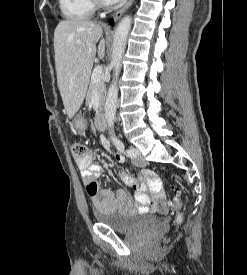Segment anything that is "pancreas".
<instances>
[{"label": "pancreas", "instance_id": "obj_1", "mask_svg": "<svg viewBox=\"0 0 247 275\" xmlns=\"http://www.w3.org/2000/svg\"><path fill=\"white\" fill-rule=\"evenodd\" d=\"M97 94L99 98V110L97 111V117L100 115L101 107L104 105L105 96H106V88L104 81L100 79V81L95 82L91 80V83L89 85V89L86 95V103L90 104L92 97L94 94Z\"/></svg>", "mask_w": 247, "mask_h": 275}]
</instances>
